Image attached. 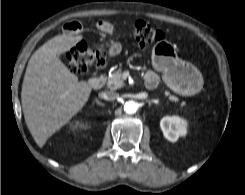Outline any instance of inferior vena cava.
<instances>
[{"instance_id": "inferior-vena-cava-1", "label": "inferior vena cava", "mask_w": 245, "mask_h": 195, "mask_svg": "<svg viewBox=\"0 0 245 195\" xmlns=\"http://www.w3.org/2000/svg\"><path fill=\"white\" fill-rule=\"evenodd\" d=\"M119 94L114 91H106L99 93V97L108 101H113L118 98Z\"/></svg>"}]
</instances>
